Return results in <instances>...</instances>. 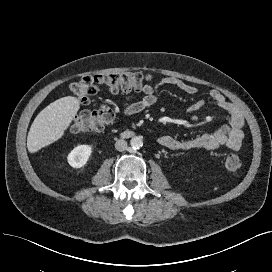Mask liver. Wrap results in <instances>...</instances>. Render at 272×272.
Instances as JSON below:
<instances>
[{
  "instance_id": "6515ba94",
  "label": "liver",
  "mask_w": 272,
  "mask_h": 272,
  "mask_svg": "<svg viewBox=\"0 0 272 272\" xmlns=\"http://www.w3.org/2000/svg\"><path fill=\"white\" fill-rule=\"evenodd\" d=\"M80 109V101L73 96L60 98L44 108L33 121L27 136V148L35 153L59 140Z\"/></svg>"
}]
</instances>
